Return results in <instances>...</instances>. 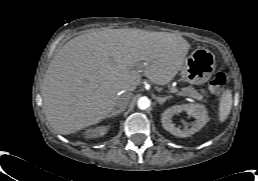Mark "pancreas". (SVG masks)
<instances>
[{"label": "pancreas", "mask_w": 258, "mask_h": 181, "mask_svg": "<svg viewBox=\"0 0 258 181\" xmlns=\"http://www.w3.org/2000/svg\"><path fill=\"white\" fill-rule=\"evenodd\" d=\"M181 96H188L195 98L197 100H203V95H201L197 90H195L192 86L184 87L177 93Z\"/></svg>", "instance_id": "pancreas-1"}]
</instances>
